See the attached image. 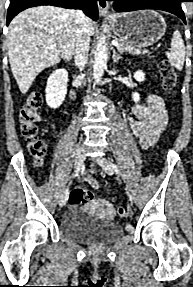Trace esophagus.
<instances>
[{
    "label": "esophagus",
    "mask_w": 193,
    "mask_h": 287,
    "mask_svg": "<svg viewBox=\"0 0 193 287\" xmlns=\"http://www.w3.org/2000/svg\"><path fill=\"white\" fill-rule=\"evenodd\" d=\"M99 13L104 18H109V1L108 0H98Z\"/></svg>",
    "instance_id": "obj_1"
}]
</instances>
